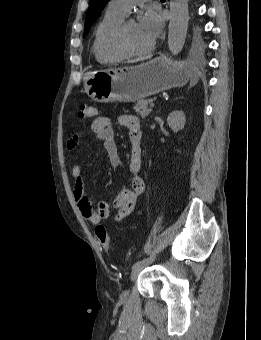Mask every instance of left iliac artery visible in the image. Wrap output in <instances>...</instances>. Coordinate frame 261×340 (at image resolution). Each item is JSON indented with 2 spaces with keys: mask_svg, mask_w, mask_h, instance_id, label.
I'll use <instances>...</instances> for the list:
<instances>
[{
  "mask_svg": "<svg viewBox=\"0 0 261 340\" xmlns=\"http://www.w3.org/2000/svg\"><path fill=\"white\" fill-rule=\"evenodd\" d=\"M153 259H154V256H153V255L144 257V258L140 259L139 261H137V262L132 266V269H134V268H136V267H139V266H144L145 264L151 262Z\"/></svg>",
  "mask_w": 261,
  "mask_h": 340,
  "instance_id": "left-iliac-artery-1",
  "label": "left iliac artery"
}]
</instances>
